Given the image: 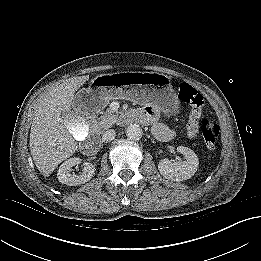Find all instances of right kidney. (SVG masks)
<instances>
[{"label": "right kidney", "mask_w": 261, "mask_h": 261, "mask_svg": "<svg viewBox=\"0 0 261 261\" xmlns=\"http://www.w3.org/2000/svg\"><path fill=\"white\" fill-rule=\"evenodd\" d=\"M81 136V138H84L86 134L83 133ZM79 163H81V159L78 157L70 158L62 163L57 173L58 181L69 186H76L88 182L95 174V167L93 164L85 162L83 164L84 168L81 173L71 174V168L75 165H78Z\"/></svg>", "instance_id": "1"}]
</instances>
